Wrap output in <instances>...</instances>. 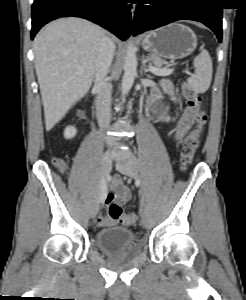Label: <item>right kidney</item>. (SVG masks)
Instances as JSON below:
<instances>
[{
	"label": "right kidney",
	"mask_w": 246,
	"mask_h": 300,
	"mask_svg": "<svg viewBox=\"0 0 246 300\" xmlns=\"http://www.w3.org/2000/svg\"><path fill=\"white\" fill-rule=\"evenodd\" d=\"M76 134V129L73 126H69L65 129L64 131V137L66 139H71L72 137H74Z\"/></svg>",
	"instance_id": "right-kidney-1"
}]
</instances>
